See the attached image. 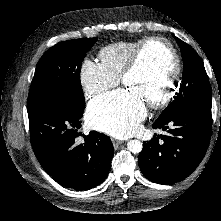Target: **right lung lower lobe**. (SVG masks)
Wrapping results in <instances>:
<instances>
[{"instance_id":"98d812e1","label":"right lung lower lobe","mask_w":221,"mask_h":221,"mask_svg":"<svg viewBox=\"0 0 221 221\" xmlns=\"http://www.w3.org/2000/svg\"><path fill=\"white\" fill-rule=\"evenodd\" d=\"M83 110L67 100L50 102L28 113L33 151L44 170L59 184L88 190L108 175L114 148L110 138L90 131L78 144Z\"/></svg>"}]
</instances>
